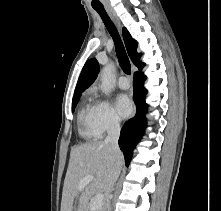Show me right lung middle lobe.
<instances>
[{"instance_id":"dd1d6c3e","label":"right lung middle lobe","mask_w":221,"mask_h":211,"mask_svg":"<svg viewBox=\"0 0 221 211\" xmlns=\"http://www.w3.org/2000/svg\"><path fill=\"white\" fill-rule=\"evenodd\" d=\"M79 98H80V96L73 97L72 111H74V109H75V107L78 103Z\"/></svg>"}]
</instances>
